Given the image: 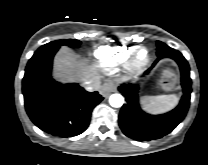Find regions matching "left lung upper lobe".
<instances>
[{
	"instance_id": "5c2ea615",
	"label": "left lung upper lobe",
	"mask_w": 208,
	"mask_h": 165,
	"mask_svg": "<svg viewBox=\"0 0 208 165\" xmlns=\"http://www.w3.org/2000/svg\"><path fill=\"white\" fill-rule=\"evenodd\" d=\"M170 49H172V48H170L169 46H167L163 42L157 41V56L159 54H161L162 52L170 50Z\"/></svg>"
}]
</instances>
